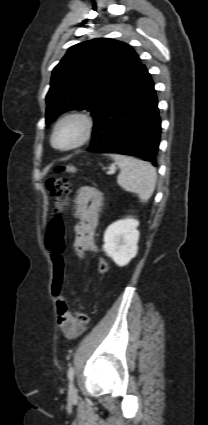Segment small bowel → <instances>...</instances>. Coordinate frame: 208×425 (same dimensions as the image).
<instances>
[{
	"label": "small bowel",
	"instance_id": "obj_1",
	"mask_svg": "<svg viewBox=\"0 0 208 425\" xmlns=\"http://www.w3.org/2000/svg\"><path fill=\"white\" fill-rule=\"evenodd\" d=\"M101 201V193L90 186L80 188L76 194L75 215L79 222L75 226L74 247L81 249L84 253L97 251L94 231L98 222ZM56 306L58 324L64 335L69 339L79 336L85 328L71 314L63 296L56 298Z\"/></svg>",
	"mask_w": 208,
	"mask_h": 425
}]
</instances>
